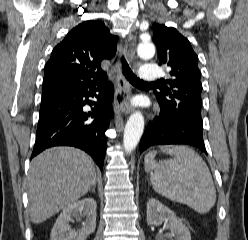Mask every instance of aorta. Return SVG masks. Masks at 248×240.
I'll use <instances>...</instances> for the list:
<instances>
[{"label":"aorta","mask_w":248,"mask_h":240,"mask_svg":"<svg viewBox=\"0 0 248 240\" xmlns=\"http://www.w3.org/2000/svg\"><path fill=\"white\" fill-rule=\"evenodd\" d=\"M137 53L143 59H150L155 54V46L149 40H145L138 45ZM143 130L144 117L139 111H136L130 115L124 129L123 146L127 154L135 149Z\"/></svg>","instance_id":"aorta-1"}]
</instances>
